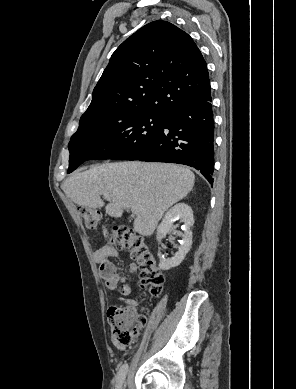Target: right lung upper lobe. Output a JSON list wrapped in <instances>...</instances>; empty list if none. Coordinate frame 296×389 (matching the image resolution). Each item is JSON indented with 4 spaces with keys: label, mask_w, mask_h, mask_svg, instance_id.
<instances>
[{
    "label": "right lung upper lobe",
    "mask_w": 296,
    "mask_h": 389,
    "mask_svg": "<svg viewBox=\"0 0 296 389\" xmlns=\"http://www.w3.org/2000/svg\"><path fill=\"white\" fill-rule=\"evenodd\" d=\"M210 96L207 64L192 38L159 20L140 28L112 54L81 118L118 108L167 116Z\"/></svg>",
    "instance_id": "1"
}]
</instances>
